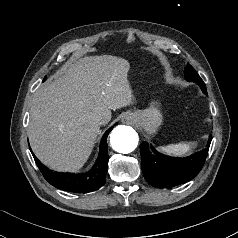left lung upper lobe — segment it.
Returning <instances> with one entry per match:
<instances>
[{
    "instance_id": "5c2ea615",
    "label": "left lung upper lobe",
    "mask_w": 238,
    "mask_h": 238,
    "mask_svg": "<svg viewBox=\"0 0 238 238\" xmlns=\"http://www.w3.org/2000/svg\"><path fill=\"white\" fill-rule=\"evenodd\" d=\"M185 78H186V80H188V81L195 82V83H197L198 85H200L201 89H202L205 93H207L205 83L203 82V80L201 79V77L196 73V71L194 70V68H193L190 64H188V65L185 67Z\"/></svg>"
}]
</instances>
